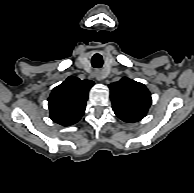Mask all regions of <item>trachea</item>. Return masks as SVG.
Masks as SVG:
<instances>
[{"instance_id": "trachea-1", "label": "trachea", "mask_w": 194, "mask_h": 193, "mask_svg": "<svg viewBox=\"0 0 194 193\" xmlns=\"http://www.w3.org/2000/svg\"><path fill=\"white\" fill-rule=\"evenodd\" d=\"M91 64L94 68H101L103 65V59L100 54H95L91 59Z\"/></svg>"}]
</instances>
